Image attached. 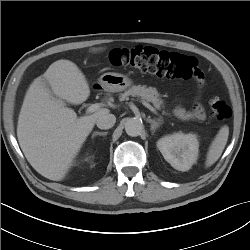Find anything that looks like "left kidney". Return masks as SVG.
<instances>
[{
  "mask_svg": "<svg viewBox=\"0 0 250 250\" xmlns=\"http://www.w3.org/2000/svg\"><path fill=\"white\" fill-rule=\"evenodd\" d=\"M157 147L174 169L188 171L197 160L199 142L195 134L178 132L160 138Z\"/></svg>",
  "mask_w": 250,
  "mask_h": 250,
  "instance_id": "obj_1",
  "label": "left kidney"
}]
</instances>
